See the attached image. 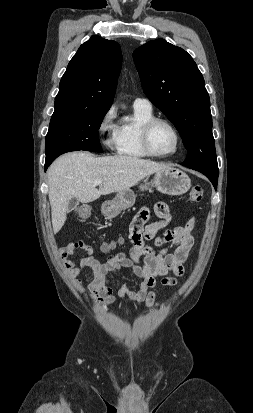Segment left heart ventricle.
Listing matches in <instances>:
<instances>
[{
  "label": "left heart ventricle",
  "mask_w": 253,
  "mask_h": 413,
  "mask_svg": "<svg viewBox=\"0 0 253 413\" xmlns=\"http://www.w3.org/2000/svg\"><path fill=\"white\" fill-rule=\"evenodd\" d=\"M176 139L173 131L165 124H157L151 132V145L155 152L167 154L174 150Z\"/></svg>",
  "instance_id": "1"
}]
</instances>
